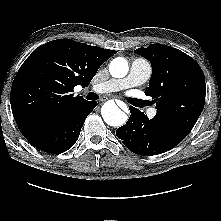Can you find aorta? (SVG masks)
Here are the masks:
<instances>
[{"mask_svg":"<svg viewBox=\"0 0 221 221\" xmlns=\"http://www.w3.org/2000/svg\"><path fill=\"white\" fill-rule=\"evenodd\" d=\"M129 70L128 62L122 57L113 59L109 65V71L112 77L122 78ZM101 114L104 121L114 127H120L127 121V115L118 108L114 101H107L102 109Z\"/></svg>","mask_w":221,"mask_h":221,"instance_id":"1","label":"aorta"}]
</instances>
